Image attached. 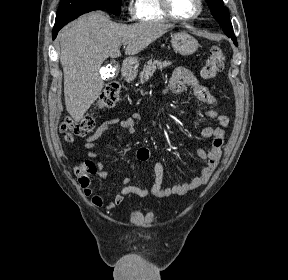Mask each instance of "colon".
<instances>
[{"instance_id": "colon-1", "label": "colon", "mask_w": 288, "mask_h": 280, "mask_svg": "<svg viewBox=\"0 0 288 280\" xmlns=\"http://www.w3.org/2000/svg\"><path fill=\"white\" fill-rule=\"evenodd\" d=\"M225 57L223 51L218 46H213L205 60L201 70L204 79H214L223 69ZM121 92V84L118 81L109 82L101 92L97 102L96 109L112 108L119 100ZM95 128V115L88 113L82 118L75 120L73 118H65L60 126L61 132L66 140L71 141L74 136L84 137L91 133ZM96 167L93 162L86 161L76 167V174L82 187L89 186L90 176L94 174Z\"/></svg>"}]
</instances>
